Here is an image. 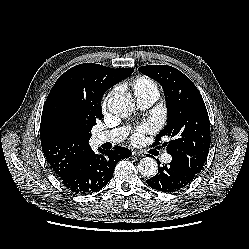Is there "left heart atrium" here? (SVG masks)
I'll use <instances>...</instances> for the list:
<instances>
[{
	"label": "left heart atrium",
	"mask_w": 249,
	"mask_h": 249,
	"mask_svg": "<svg viewBox=\"0 0 249 249\" xmlns=\"http://www.w3.org/2000/svg\"><path fill=\"white\" fill-rule=\"evenodd\" d=\"M154 130H155V125L152 122H145L139 124L132 131L131 141L134 144H142L145 142L147 134L152 133Z\"/></svg>",
	"instance_id": "39dd6f15"
}]
</instances>
